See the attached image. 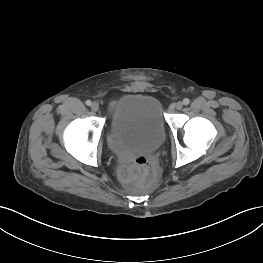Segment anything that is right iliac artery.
I'll return each instance as SVG.
<instances>
[{
	"label": "right iliac artery",
	"mask_w": 263,
	"mask_h": 263,
	"mask_svg": "<svg viewBox=\"0 0 263 263\" xmlns=\"http://www.w3.org/2000/svg\"><path fill=\"white\" fill-rule=\"evenodd\" d=\"M85 103L87 106H91V104H92V102L90 100H87Z\"/></svg>",
	"instance_id": "obj_1"
}]
</instances>
